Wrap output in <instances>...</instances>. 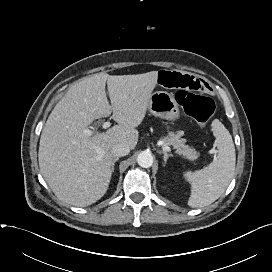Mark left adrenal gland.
I'll return each instance as SVG.
<instances>
[{"mask_svg": "<svg viewBox=\"0 0 272 272\" xmlns=\"http://www.w3.org/2000/svg\"><path fill=\"white\" fill-rule=\"evenodd\" d=\"M161 153H163V155H164V163L166 164V162H167V159L169 158V157H172L173 155L172 154H168L166 151H162Z\"/></svg>", "mask_w": 272, "mask_h": 272, "instance_id": "left-adrenal-gland-1", "label": "left adrenal gland"}]
</instances>
